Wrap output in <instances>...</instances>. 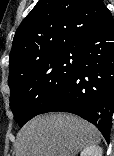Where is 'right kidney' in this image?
Wrapping results in <instances>:
<instances>
[{"mask_svg": "<svg viewBox=\"0 0 114 156\" xmlns=\"http://www.w3.org/2000/svg\"><path fill=\"white\" fill-rule=\"evenodd\" d=\"M80 156H102V148L98 145H91L84 148Z\"/></svg>", "mask_w": 114, "mask_h": 156, "instance_id": "obj_1", "label": "right kidney"}]
</instances>
